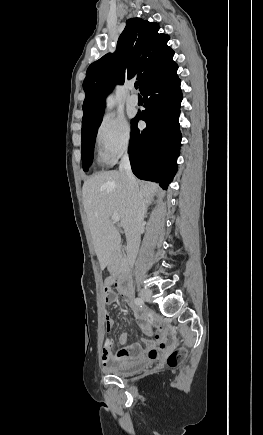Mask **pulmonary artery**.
<instances>
[{
    "mask_svg": "<svg viewBox=\"0 0 263 435\" xmlns=\"http://www.w3.org/2000/svg\"><path fill=\"white\" fill-rule=\"evenodd\" d=\"M128 102L132 106H136L138 104V97L135 94H131L128 98Z\"/></svg>",
    "mask_w": 263,
    "mask_h": 435,
    "instance_id": "pulmonary-artery-1",
    "label": "pulmonary artery"
}]
</instances>
